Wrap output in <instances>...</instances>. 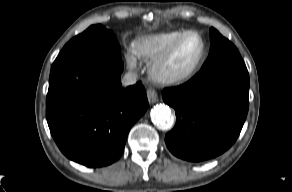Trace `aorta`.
I'll use <instances>...</instances> for the list:
<instances>
[{
	"label": "aorta",
	"mask_w": 292,
	"mask_h": 192,
	"mask_svg": "<svg viewBox=\"0 0 292 192\" xmlns=\"http://www.w3.org/2000/svg\"><path fill=\"white\" fill-rule=\"evenodd\" d=\"M152 122L160 129L167 130L172 127L171 109L164 104H157L151 109Z\"/></svg>",
	"instance_id": "obj_1"
}]
</instances>
